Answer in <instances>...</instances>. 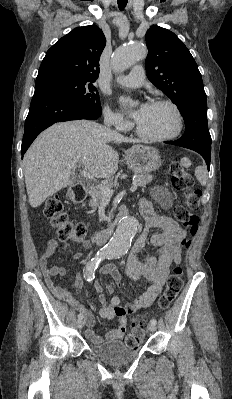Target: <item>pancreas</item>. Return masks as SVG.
<instances>
[{"mask_svg": "<svg viewBox=\"0 0 232 399\" xmlns=\"http://www.w3.org/2000/svg\"><path fill=\"white\" fill-rule=\"evenodd\" d=\"M153 176H151L150 172H145V174H135L134 182L133 184H136V186H141V188H145L146 184H150L152 182ZM101 186H106V188H114V186H117V182H113V180H108V184H101ZM101 186H95V188H92L90 192H88L89 196H91L89 205L93 207V209H96V207H100L101 203L103 200H106L105 194H103L101 190Z\"/></svg>", "mask_w": 232, "mask_h": 399, "instance_id": "1", "label": "pancreas"}]
</instances>
